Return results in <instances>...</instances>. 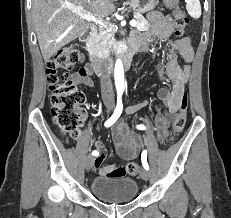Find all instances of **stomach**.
Segmentation results:
<instances>
[{
    "label": "stomach",
    "mask_w": 231,
    "mask_h": 218,
    "mask_svg": "<svg viewBox=\"0 0 231 218\" xmlns=\"http://www.w3.org/2000/svg\"><path fill=\"white\" fill-rule=\"evenodd\" d=\"M159 4V0H130L131 7L138 13L153 10Z\"/></svg>",
    "instance_id": "0dacf381"
}]
</instances>
